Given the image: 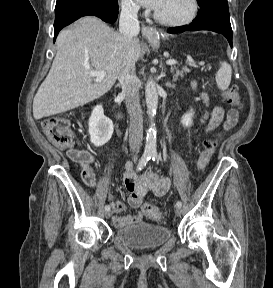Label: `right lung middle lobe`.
I'll return each instance as SVG.
<instances>
[{
    "label": "right lung middle lobe",
    "mask_w": 273,
    "mask_h": 288,
    "mask_svg": "<svg viewBox=\"0 0 273 288\" xmlns=\"http://www.w3.org/2000/svg\"><path fill=\"white\" fill-rule=\"evenodd\" d=\"M98 6L104 9H118L117 0H57L55 12L63 8Z\"/></svg>",
    "instance_id": "right-lung-middle-lobe-1"
}]
</instances>
